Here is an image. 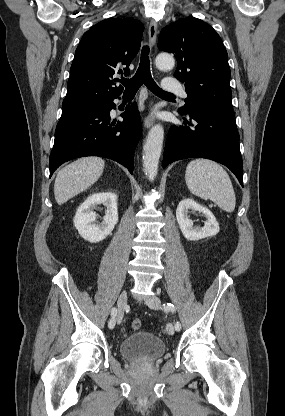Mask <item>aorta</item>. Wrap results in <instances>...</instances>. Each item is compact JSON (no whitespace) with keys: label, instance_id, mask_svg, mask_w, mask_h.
Listing matches in <instances>:
<instances>
[{"label":"aorta","instance_id":"762f6f07","mask_svg":"<svg viewBox=\"0 0 285 416\" xmlns=\"http://www.w3.org/2000/svg\"><path fill=\"white\" fill-rule=\"evenodd\" d=\"M156 66L160 70H171L175 65L174 58L166 53H161L156 57ZM164 129L162 125L156 124L153 126L146 138V142L143 146V168L147 178L152 182L154 181L157 172L159 159L163 147Z\"/></svg>","mask_w":285,"mask_h":416}]
</instances>
